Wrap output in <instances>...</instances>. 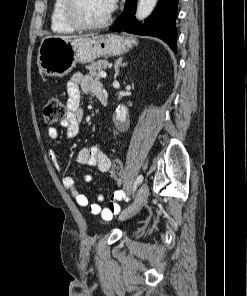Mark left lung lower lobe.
Masks as SVG:
<instances>
[{
	"instance_id": "obj_1",
	"label": "left lung lower lobe",
	"mask_w": 247,
	"mask_h": 296,
	"mask_svg": "<svg viewBox=\"0 0 247 296\" xmlns=\"http://www.w3.org/2000/svg\"><path fill=\"white\" fill-rule=\"evenodd\" d=\"M177 3L178 0H159L151 16L145 19L143 24H139L134 17L137 0H126L122 14L109 30L158 37L176 53Z\"/></svg>"
}]
</instances>
